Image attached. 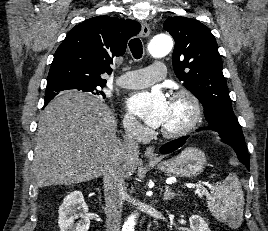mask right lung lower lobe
I'll list each match as a JSON object with an SVG mask.
<instances>
[{
	"mask_svg": "<svg viewBox=\"0 0 268 231\" xmlns=\"http://www.w3.org/2000/svg\"><path fill=\"white\" fill-rule=\"evenodd\" d=\"M48 103H49V102H48ZM48 103H45V104H44V107H45Z\"/></svg>",
	"mask_w": 268,
	"mask_h": 231,
	"instance_id": "obj_1",
	"label": "right lung lower lobe"
}]
</instances>
